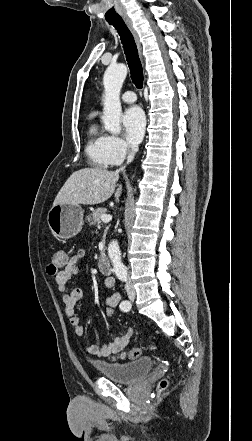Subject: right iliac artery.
I'll return each instance as SVG.
<instances>
[{"label":"right iliac artery","mask_w":252,"mask_h":441,"mask_svg":"<svg viewBox=\"0 0 252 441\" xmlns=\"http://www.w3.org/2000/svg\"><path fill=\"white\" fill-rule=\"evenodd\" d=\"M127 304H131L128 300H125V301H122L121 302V304H120V309L123 311V312H126V305Z\"/></svg>","instance_id":"82829eb1"}]
</instances>
